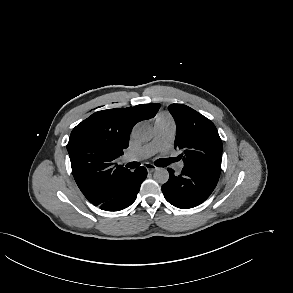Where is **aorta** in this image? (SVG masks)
Here are the masks:
<instances>
[{
    "label": "aorta",
    "mask_w": 293,
    "mask_h": 293,
    "mask_svg": "<svg viewBox=\"0 0 293 293\" xmlns=\"http://www.w3.org/2000/svg\"><path fill=\"white\" fill-rule=\"evenodd\" d=\"M154 135L153 128L145 122L138 123L132 131L133 138L138 142H147ZM154 179L160 184H164L169 179V172L165 168H158L154 172Z\"/></svg>",
    "instance_id": "762f6f07"
}]
</instances>
